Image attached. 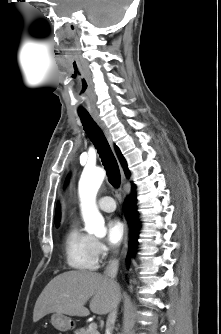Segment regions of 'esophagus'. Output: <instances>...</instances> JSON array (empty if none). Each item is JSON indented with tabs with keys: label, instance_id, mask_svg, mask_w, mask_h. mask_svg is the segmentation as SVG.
Wrapping results in <instances>:
<instances>
[{
	"label": "esophagus",
	"instance_id": "34e87169",
	"mask_svg": "<svg viewBox=\"0 0 221 334\" xmlns=\"http://www.w3.org/2000/svg\"><path fill=\"white\" fill-rule=\"evenodd\" d=\"M94 120L96 121V123L99 125V127L102 129V131L104 132V135L106 136L108 142L110 143L111 146H113V142H112V138H111V134L108 130V128L106 127L105 123L101 120V118L96 115V114H93L92 115ZM122 177H123V182H124V174H122ZM122 192L125 196V191L124 189H122ZM124 227H125V236H124V245H123V250H122V254L125 255L126 252H127V248H128V225H127V222L126 220L124 219Z\"/></svg>",
	"mask_w": 221,
	"mask_h": 334
}]
</instances>
